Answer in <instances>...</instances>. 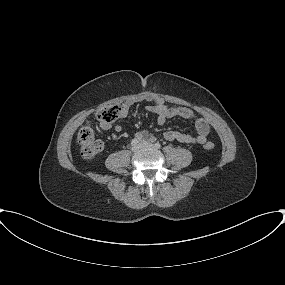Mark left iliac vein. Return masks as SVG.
Segmentation results:
<instances>
[{
	"mask_svg": "<svg viewBox=\"0 0 285 285\" xmlns=\"http://www.w3.org/2000/svg\"><path fill=\"white\" fill-rule=\"evenodd\" d=\"M143 147L154 148V145L148 141L142 142Z\"/></svg>",
	"mask_w": 285,
	"mask_h": 285,
	"instance_id": "left-iliac-vein-1",
	"label": "left iliac vein"
}]
</instances>
